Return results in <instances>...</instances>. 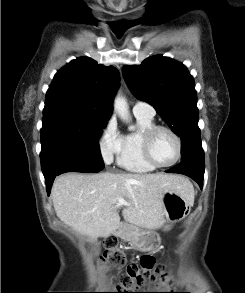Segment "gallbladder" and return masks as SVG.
Wrapping results in <instances>:
<instances>
[{
  "mask_svg": "<svg viewBox=\"0 0 245 293\" xmlns=\"http://www.w3.org/2000/svg\"><path fill=\"white\" fill-rule=\"evenodd\" d=\"M92 252L94 255H98L100 252V243L98 240H95L92 246Z\"/></svg>",
  "mask_w": 245,
  "mask_h": 293,
  "instance_id": "bac80fb5",
  "label": "gallbladder"
}]
</instances>
